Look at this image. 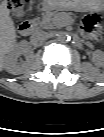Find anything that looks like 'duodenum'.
Listing matches in <instances>:
<instances>
[{"label":"duodenum","mask_w":104,"mask_h":137,"mask_svg":"<svg viewBox=\"0 0 104 137\" xmlns=\"http://www.w3.org/2000/svg\"><path fill=\"white\" fill-rule=\"evenodd\" d=\"M39 10L40 11L44 10V7L40 5ZM34 28H35V25L31 21H24L19 26L20 33L24 36L30 35L33 32Z\"/></svg>","instance_id":"1"}]
</instances>
